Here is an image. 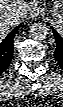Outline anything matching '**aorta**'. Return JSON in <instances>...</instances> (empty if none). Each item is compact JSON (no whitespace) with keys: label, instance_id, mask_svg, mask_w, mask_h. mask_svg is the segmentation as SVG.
Returning <instances> with one entry per match:
<instances>
[{"label":"aorta","instance_id":"obj_1","mask_svg":"<svg viewBox=\"0 0 63 107\" xmlns=\"http://www.w3.org/2000/svg\"><path fill=\"white\" fill-rule=\"evenodd\" d=\"M48 31H49V29L46 26V24H44L42 22H36L30 26L29 32L33 39L44 40L48 36V33H49Z\"/></svg>","mask_w":63,"mask_h":107}]
</instances>
